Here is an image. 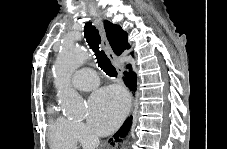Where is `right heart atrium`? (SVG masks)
Returning <instances> with one entry per match:
<instances>
[{"instance_id":"d8ad5b80","label":"right heart atrium","mask_w":227,"mask_h":149,"mask_svg":"<svg viewBox=\"0 0 227 149\" xmlns=\"http://www.w3.org/2000/svg\"><path fill=\"white\" fill-rule=\"evenodd\" d=\"M73 132L76 140L82 143H86L91 137V134L86 126L81 122H73Z\"/></svg>"}]
</instances>
